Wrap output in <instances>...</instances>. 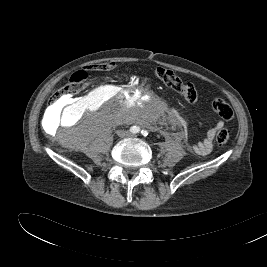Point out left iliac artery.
<instances>
[{"mask_svg": "<svg viewBox=\"0 0 267 267\" xmlns=\"http://www.w3.org/2000/svg\"><path fill=\"white\" fill-rule=\"evenodd\" d=\"M141 134H142L144 137H146L149 133H148L147 130H142V131H141Z\"/></svg>", "mask_w": 267, "mask_h": 267, "instance_id": "1", "label": "left iliac artery"}]
</instances>
